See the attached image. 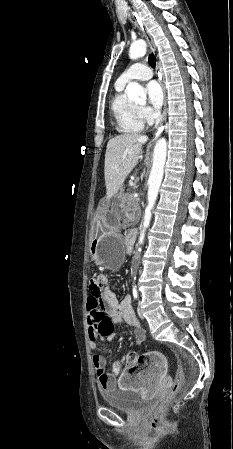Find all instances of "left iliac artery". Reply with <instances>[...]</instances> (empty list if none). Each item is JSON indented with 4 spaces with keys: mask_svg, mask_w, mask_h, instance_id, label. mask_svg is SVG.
Segmentation results:
<instances>
[{
    "mask_svg": "<svg viewBox=\"0 0 233 449\" xmlns=\"http://www.w3.org/2000/svg\"><path fill=\"white\" fill-rule=\"evenodd\" d=\"M133 296H134L135 299H137V297H138L136 286L133 287Z\"/></svg>",
    "mask_w": 233,
    "mask_h": 449,
    "instance_id": "left-iliac-artery-1",
    "label": "left iliac artery"
}]
</instances>
